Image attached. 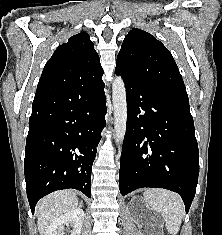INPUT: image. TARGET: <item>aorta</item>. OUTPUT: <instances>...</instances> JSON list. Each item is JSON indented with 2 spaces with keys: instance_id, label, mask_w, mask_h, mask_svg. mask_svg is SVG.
Returning a JSON list of instances; mask_svg holds the SVG:
<instances>
[{
  "instance_id": "obj_1",
  "label": "aorta",
  "mask_w": 222,
  "mask_h": 235,
  "mask_svg": "<svg viewBox=\"0 0 222 235\" xmlns=\"http://www.w3.org/2000/svg\"><path fill=\"white\" fill-rule=\"evenodd\" d=\"M112 101L114 110L115 141L123 142L127 123L126 89L121 77H116L112 83Z\"/></svg>"
}]
</instances>
